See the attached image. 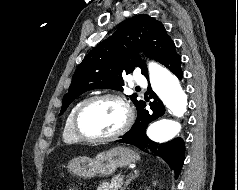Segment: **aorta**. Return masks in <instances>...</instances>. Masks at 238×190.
<instances>
[{"mask_svg":"<svg viewBox=\"0 0 238 190\" xmlns=\"http://www.w3.org/2000/svg\"><path fill=\"white\" fill-rule=\"evenodd\" d=\"M150 81L153 91L161 99L168 112L182 117L187 109V95L178 78L161 65L149 63ZM181 125L171 118H160L148 128V137L157 143L172 140L180 131Z\"/></svg>","mask_w":238,"mask_h":190,"instance_id":"1","label":"aorta"}]
</instances>
